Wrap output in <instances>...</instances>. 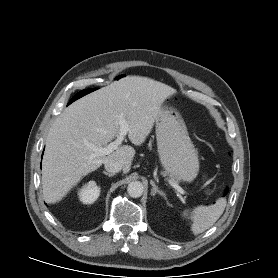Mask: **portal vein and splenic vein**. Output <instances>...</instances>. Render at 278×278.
<instances>
[{
    "label": "portal vein and splenic vein",
    "mask_w": 278,
    "mask_h": 278,
    "mask_svg": "<svg viewBox=\"0 0 278 278\" xmlns=\"http://www.w3.org/2000/svg\"><path fill=\"white\" fill-rule=\"evenodd\" d=\"M119 125H120L119 135L117 136L115 141H113L112 143H110L106 147H91L90 145H88L94 151V155H93L94 157L95 156L109 155L114 150H116L119 145L122 144V142H123V140H124L128 130H129V128H128V124H127L126 120L123 117L119 118ZM169 183H170L171 186H173L182 195L188 194L177 183H175L173 181H170V180H169Z\"/></svg>",
    "instance_id": "portal-vein-and-splenic-vein-1"
}]
</instances>
